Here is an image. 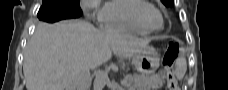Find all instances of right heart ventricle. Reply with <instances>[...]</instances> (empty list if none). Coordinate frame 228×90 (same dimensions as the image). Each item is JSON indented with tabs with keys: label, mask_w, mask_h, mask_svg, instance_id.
Returning a JSON list of instances; mask_svg holds the SVG:
<instances>
[{
	"label": "right heart ventricle",
	"mask_w": 228,
	"mask_h": 90,
	"mask_svg": "<svg viewBox=\"0 0 228 90\" xmlns=\"http://www.w3.org/2000/svg\"><path fill=\"white\" fill-rule=\"evenodd\" d=\"M148 3L144 0L107 1L102 9L104 28L139 35L149 34L150 31L137 19V11Z\"/></svg>",
	"instance_id": "obj_1"
}]
</instances>
